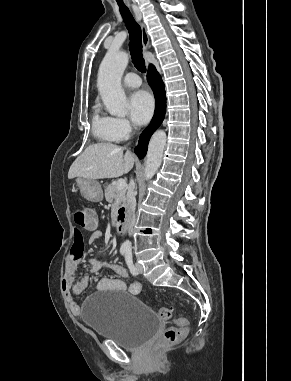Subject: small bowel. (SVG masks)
<instances>
[{
	"mask_svg": "<svg viewBox=\"0 0 291 381\" xmlns=\"http://www.w3.org/2000/svg\"><path fill=\"white\" fill-rule=\"evenodd\" d=\"M101 236L99 231H94L88 237V243L93 244ZM82 246V237L79 232L75 233V242L71 249V252L68 254L64 278L62 283V289L70 310L73 314L78 315L81 312V306L77 302L76 297L82 294L88 286V279L83 277L77 279V270L80 260V248ZM109 268L120 278H125L128 276L126 269L118 264L109 266ZM97 291H127L130 294L137 295L141 291V283L137 280L131 282L128 286L121 279L106 278L103 277L97 282Z\"/></svg>",
	"mask_w": 291,
	"mask_h": 381,
	"instance_id": "small-bowel-1",
	"label": "small bowel"
}]
</instances>
